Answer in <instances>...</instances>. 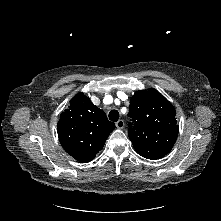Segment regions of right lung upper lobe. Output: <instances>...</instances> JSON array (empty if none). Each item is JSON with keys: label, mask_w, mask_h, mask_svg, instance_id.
<instances>
[{"label": "right lung upper lobe", "mask_w": 221, "mask_h": 221, "mask_svg": "<svg viewBox=\"0 0 221 221\" xmlns=\"http://www.w3.org/2000/svg\"><path fill=\"white\" fill-rule=\"evenodd\" d=\"M115 124L84 93L76 94L57 124L59 141L64 150L78 161L93 160L103 148Z\"/></svg>", "instance_id": "1"}]
</instances>
